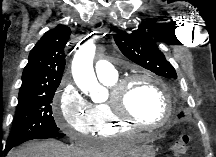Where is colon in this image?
<instances>
[{"label":"colon","mask_w":216,"mask_h":157,"mask_svg":"<svg viewBox=\"0 0 216 157\" xmlns=\"http://www.w3.org/2000/svg\"><path fill=\"white\" fill-rule=\"evenodd\" d=\"M189 142V135L186 132H181L172 147L173 154L177 157L185 155L188 150Z\"/></svg>","instance_id":"1"}]
</instances>
